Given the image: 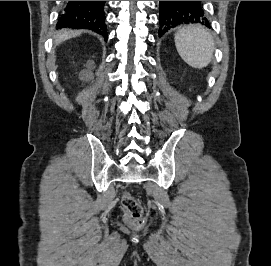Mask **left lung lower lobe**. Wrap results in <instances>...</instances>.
Segmentation results:
<instances>
[{
  "mask_svg": "<svg viewBox=\"0 0 271 266\" xmlns=\"http://www.w3.org/2000/svg\"><path fill=\"white\" fill-rule=\"evenodd\" d=\"M159 35L181 24L210 27L202 1H160Z\"/></svg>",
  "mask_w": 271,
  "mask_h": 266,
  "instance_id": "1",
  "label": "left lung lower lobe"
}]
</instances>
